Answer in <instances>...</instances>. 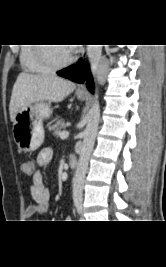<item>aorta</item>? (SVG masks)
<instances>
[{"mask_svg":"<svg viewBox=\"0 0 166 267\" xmlns=\"http://www.w3.org/2000/svg\"><path fill=\"white\" fill-rule=\"evenodd\" d=\"M101 54H102V45L87 46V55L90 62L91 72L95 82V94L93 103L87 114V126L84 131L83 147L80 153L77 169L73 179V199L75 202L82 201L85 175L99 126L100 106L98 101L97 80L99 74Z\"/></svg>","mask_w":166,"mask_h":267,"instance_id":"aorta-1","label":"aorta"}]
</instances>
